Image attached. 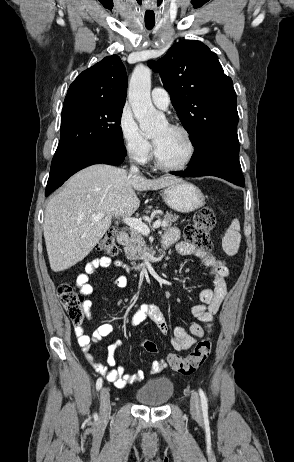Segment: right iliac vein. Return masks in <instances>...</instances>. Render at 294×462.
Masks as SVG:
<instances>
[{
    "mask_svg": "<svg viewBox=\"0 0 294 462\" xmlns=\"http://www.w3.org/2000/svg\"><path fill=\"white\" fill-rule=\"evenodd\" d=\"M100 420L105 421L110 417L111 405H110V393L106 387H103L100 393Z\"/></svg>",
    "mask_w": 294,
    "mask_h": 462,
    "instance_id": "obj_1",
    "label": "right iliac vein"
}]
</instances>
